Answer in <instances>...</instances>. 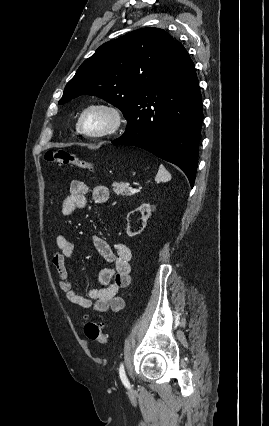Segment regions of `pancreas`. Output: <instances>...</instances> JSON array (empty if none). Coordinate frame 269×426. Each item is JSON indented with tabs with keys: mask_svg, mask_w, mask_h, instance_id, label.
Instances as JSON below:
<instances>
[{
	"mask_svg": "<svg viewBox=\"0 0 269 426\" xmlns=\"http://www.w3.org/2000/svg\"><path fill=\"white\" fill-rule=\"evenodd\" d=\"M130 190H131V187H130L129 183L120 182V183H114L113 184V191L117 195L130 196V195H132Z\"/></svg>",
	"mask_w": 269,
	"mask_h": 426,
	"instance_id": "cf45deb5",
	"label": "pancreas"
}]
</instances>
